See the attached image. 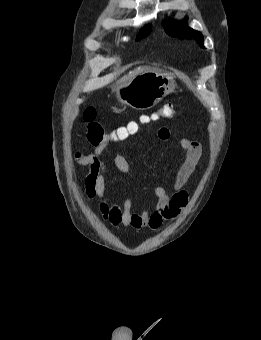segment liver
Here are the masks:
<instances>
[{
	"label": "liver",
	"mask_w": 261,
	"mask_h": 340,
	"mask_svg": "<svg viewBox=\"0 0 261 340\" xmlns=\"http://www.w3.org/2000/svg\"><path fill=\"white\" fill-rule=\"evenodd\" d=\"M153 70L149 67H138L133 71H130L127 75L123 76L121 79L117 81V85L125 84L129 81H131L135 76L138 74L145 72V71H150Z\"/></svg>",
	"instance_id": "liver-1"
}]
</instances>
